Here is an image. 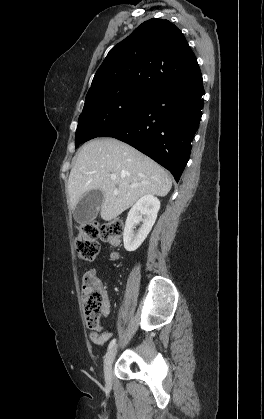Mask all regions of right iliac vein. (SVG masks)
<instances>
[{
  "label": "right iliac vein",
  "instance_id": "1",
  "mask_svg": "<svg viewBox=\"0 0 264 419\" xmlns=\"http://www.w3.org/2000/svg\"><path fill=\"white\" fill-rule=\"evenodd\" d=\"M117 352V347H113L105 356L104 359V375L107 383L112 381V364L114 362Z\"/></svg>",
  "mask_w": 264,
  "mask_h": 419
}]
</instances>
